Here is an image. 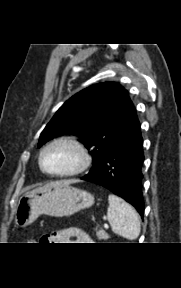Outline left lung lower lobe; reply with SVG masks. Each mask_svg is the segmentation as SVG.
<instances>
[{
    "instance_id": "0a47b994",
    "label": "left lung lower lobe",
    "mask_w": 181,
    "mask_h": 288,
    "mask_svg": "<svg viewBox=\"0 0 181 288\" xmlns=\"http://www.w3.org/2000/svg\"><path fill=\"white\" fill-rule=\"evenodd\" d=\"M144 161L140 124L132 105L122 133L109 148L95 170L82 180L101 185L133 205L143 218L141 172Z\"/></svg>"
}]
</instances>
